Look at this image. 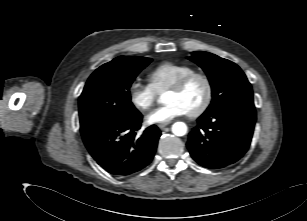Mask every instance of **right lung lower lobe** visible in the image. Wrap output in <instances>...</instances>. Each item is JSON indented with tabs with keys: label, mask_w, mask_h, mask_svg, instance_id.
Segmentation results:
<instances>
[{
	"label": "right lung lower lobe",
	"mask_w": 307,
	"mask_h": 221,
	"mask_svg": "<svg viewBox=\"0 0 307 221\" xmlns=\"http://www.w3.org/2000/svg\"><path fill=\"white\" fill-rule=\"evenodd\" d=\"M142 115L102 124L82 136L94 160L115 176H128L146 167L156 151L160 130L152 125L137 138Z\"/></svg>",
	"instance_id": "right-lung-lower-lobe-1"
}]
</instances>
